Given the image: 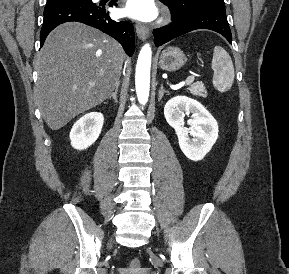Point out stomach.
Masks as SVG:
<instances>
[{
	"label": "stomach",
	"instance_id": "0dacf381",
	"mask_svg": "<svg viewBox=\"0 0 289 274\" xmlns=\"http://www.w3.org/2000/svg\"><path fill=\"white\" fill-rule=\"evenodd\" d=\"M187 58L184 52L177 47H168L160 55L159 65L166 71H176L184 66Z\"/></svg>",
	"mask_w": 289,
	"mask_h": 274
}]
</instances>
